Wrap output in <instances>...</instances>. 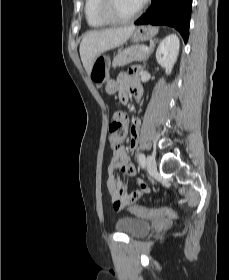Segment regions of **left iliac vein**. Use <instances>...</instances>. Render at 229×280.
Masks as SVG:
<instances>
[{"label":"left iliac vein","instance_id":"1","mask_svg":"<svg viewBox=\"0 0 229 280\" xmlns=\"http://www.w3.org/2000/svg\"><path fill=\"white\" fill-rule=\"evenodd\" d=\"M146 168L149 173H153L156 170V160L152 155L147 156Z\"/></svg>","mask_w":229,"mask_h":280}]
</instances>
